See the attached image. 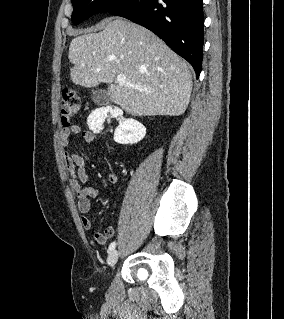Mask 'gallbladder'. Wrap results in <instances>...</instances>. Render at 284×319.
Instances as JSON below:
<instances>
[{
    "label": "gallbladder",
    "instance_id": "obj_1",
    "mask_svg": "<svg viewBox=\"0 0 284 319\" xmlns=\"http://www.w3.org/2000/svg\"><path fill=\"white\" fill-rule=\"evenodd\" d=\"M92 100L97 105H108L111 102L108 92L101 89L92 91Z\"/></svg>",
    "mask_w": 284,
    "mask_h": 319
}]
</instances>
